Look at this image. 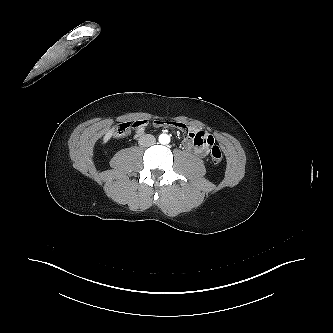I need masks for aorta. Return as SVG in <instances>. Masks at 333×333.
<instances>
[{"instance_id": "aorta-1", "label": "aorta", "mask_w": 333, "mask_h": 333, "mask_svg": "<svg viewBox=\"0 0 333 333\" xmlns=\"http://www.w3.org/2000/svg\"><path fill=\"white\" fill-rule=\"evenodd\" d=\"M159 142L164 145L168 144L170 142V136L167 134H161L159 136Z\"/></svg>"}]
</instances>
